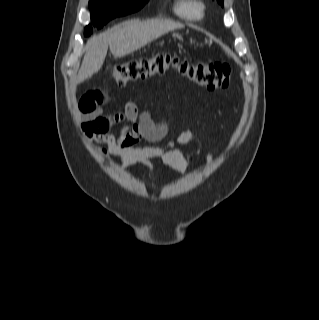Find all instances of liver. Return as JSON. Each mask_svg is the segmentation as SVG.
I'll return each instance as SVG.
<instances>
[{
	"mask_svg": "<svg viewBox=\"0 0 319 320\" xmlns=\"http://www.w3.org/2000/svg\"><path fill=\"white\" fill-rule=\"evenodd\" d=\"M180 28H183L182 24L164 19L142 22L130 20L90 38L86 43V53L78 72L77 82H83L101 69L108 47L114 57L121 58Z\"/></svg>",
	"mask_w": 319,
	"mask_h": 320,
	"instance_id": "liver-1",
	"label": "liver"
}]
</instances>
